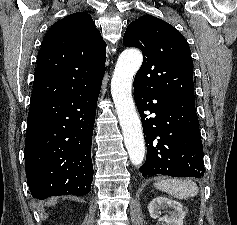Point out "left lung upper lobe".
<instances>
[{
  "label": "left lung upper lobe",
  "mask_w": 237,
  "mask_h": 225,
  "mask_svg": "<svg viewBox=\"0 0 237 225\" xmlns=\"http://www.w3.org/2000/svg\"><path fill=\"white\" fill-rule=\"evenodd\" d=\"M123 44L143 52L134 86L167 98L195 100L190 47L173 26L151 15L141 16L128 25Z\"/></svg>",
  "instance_id": "left-lung-upper-lobe-1"
}]
</instances>
